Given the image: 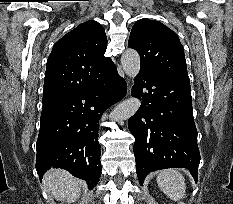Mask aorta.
<instances>
[{
	"label": "aorta",
	"instance_id": "obj_1",
	"mask_svg": "<svg viewBox=\"0 0 233 204\" xmlns=\"http://www.w3.org/2000/svg\"><path fill=\"white\" fill-rule=\"evenodd\" d=\"M121 65L126 75L134 79L140 71V56L134 49H127L121 56ZM140 107V100L129 98L120 103L109 115L113 121H123L133 116Z\"/></svg>",
	"mask_w": 233,
	"mask_h": 204
}]
</instances>
